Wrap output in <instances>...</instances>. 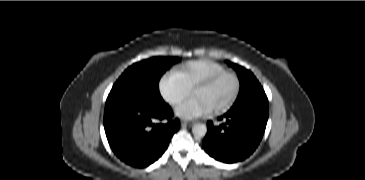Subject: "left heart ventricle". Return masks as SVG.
<instances>
[{
	"label": "left heart ventricle",
	"instance_id": "left-heart-ventricle-1",
	"mask_svg": "<svg viewBox=\"0 0 365 180\" xmlns=\"http://www.w3.org/2000/svg\"><path fill=\"white\" fill-rule=\"evenodd\" d=\"M222 82H223L224 88L226 90V93H225L224 97H221L219 99H210V101L208 99V102H210V104L213 106H219V105L227 102L234 93L235 81L232 77H230V76L226 77Z\"/></svg>",
	"mask_w": 365,
	"mask_h": 180
}]
</instances>
